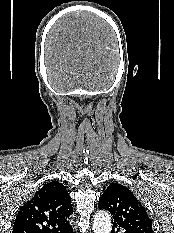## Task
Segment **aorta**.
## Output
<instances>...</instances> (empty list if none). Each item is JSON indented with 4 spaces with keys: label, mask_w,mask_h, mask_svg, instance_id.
Segmentation results:
<instances>
[{
    "label": "aorta",
    "mask_w": 174,
    "mask_h": 233,
    "mask_svg": "<svg viewBox=\"0 0 174 233\" xmlns=\"http://www.w3.org/2000/svg\"><path fill=\"white\" fill-rule=\"evenodd\" d=\"M110 215L106 211H98L93 220L94 233H111Z\"/></svg>",
    "instance_id": "1"
}]
</instances>
